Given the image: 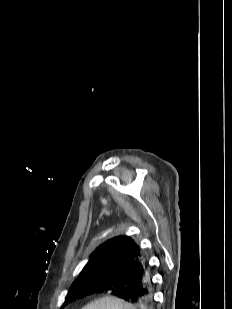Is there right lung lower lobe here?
Instances as JSON below:
<instances>
[{"mask_svg":"<svg viewBox=\"0 0 232 309\" xmlns=\"http://www.w3.org/2000/svg\"><path fill=\"white\" fill-rule=\"evenodd\" d=\"M117 273L128 274L127 281L117 280L113 283L105 282L99 286L90 285L86 296L94 293L111 292V294L135 304L137 309H153L152 281L148 264L128 262L117 267Z\"/></svg>","mask_w":232,"mask_h":309,"instance_id":"obj_1","label":"right lung lower lobe"}]
</instances>
